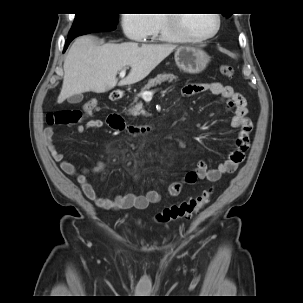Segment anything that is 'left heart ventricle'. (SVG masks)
<instances>
[{"mask_svg":"<svg viewBox=\"0 0 303 303\" xmlns=\"http://www.w3.org/2000/svg\"><path fill=\"white\" fill-rule=\"evenodd\" d=\"M184 18V29L195 36L207 34L215 27L212 14H185Z\"/></svg>","mask_w":303,"mask_h":303,"instance_id":"1","label":"left heart ventricle"}]
</instances>
